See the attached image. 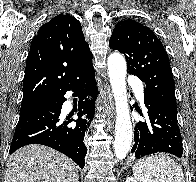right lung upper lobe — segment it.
I'll use <instances>...</instances> for the list:
<instances>
[{"label": "right lung upper lobe", "instance_id": "cb5924a9", "mask_svg": "<svg viewBox=\"0 0 196 182\" xmlns=\"http://www.w3.org/2000/svg\"><path fill=\"white\" fill-rule=\"evenodd\" d=\"M80 22L59 14L40 27L26 61L22 105L49 99L92 64Z\"/></svg>", "mask_w": 196, "mask_h": 182}]
</instances>
